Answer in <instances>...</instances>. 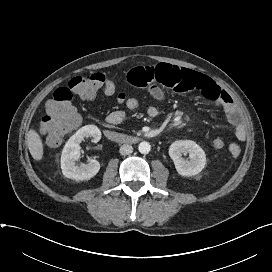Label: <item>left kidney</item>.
<instances>
[{
  "label": "left kidney",
  "instance_id": "obj_1",
  "mask_svg": "<svg viewBox=\"0 0 272 272\" xmlns=\"http://www.w3.org/2000/svg\"><path fill=\"white\" fill-rule=\"evenodd\" d=\"M189 154L190 160H185L182 154ZM169 156L181 176L190 177L199 174L206 165L204 150L192 140H178L169 147Z\"/></svg>",
  "mask_w": 272,
  "mask_h": 272
}]
</instances>
